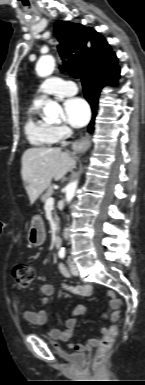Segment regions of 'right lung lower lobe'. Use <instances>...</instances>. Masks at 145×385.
Masks as SVG:
<instances>
[{"instance_id": "right-lung-lower-lobe-1", "label": "right lung lower lobe", "mask_w": 145, "mask_h": 385, "mask_svg": "<svg viewBox=\"0 0 145 385\" xmlns=\"http://www.w3.org/2000/svg\"><path fill=\"white\" fill-rule=\"evenodd\" d=\"M119 73V67L117 62H115L106 68L92 70L81 75L84 96L92 108V120L88 127L89 132L93 131L100 90L106 84H114L119 78Z\"/></svg>"}]
</instances>
